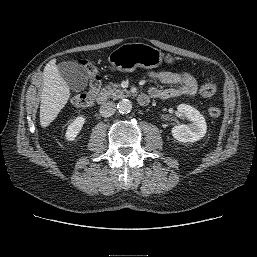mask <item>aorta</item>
Segmentation results:
<instances>
[{
	"label": "aorta",
	"instance_id": "762f6f07",
	"mask_svg": "<svg viewBox=\"0 0 257 257\" xmlns=\"http://www.w3.org/2000/svg\"><path fill=\"white\" fill-rule=\"evenodd\" d=\"M117 109L122 114H127L132 110V103L128 99H122L117 104Z\"/></svg>",
	"mask_w": 257,
	"mask_h": 257
}]
</instances>
